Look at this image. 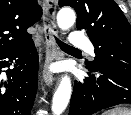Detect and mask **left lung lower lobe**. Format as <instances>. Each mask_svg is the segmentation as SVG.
<instances>
[{"label":"left lung lower lobe","instance_id":"0a47b994","mask_svg":"<svg viewBox=\"0 0 131 115\" xmlns=\"http://www.w3.org/2000/svg\"><path fill=\"white\" fill-rule=\"evenodd\" d=\"M88 78L76 82L69 115H92L122 103H131V77L103 69H90Z\"/></svg>","mask_w":131,"mask_h":115}]
</instances>
